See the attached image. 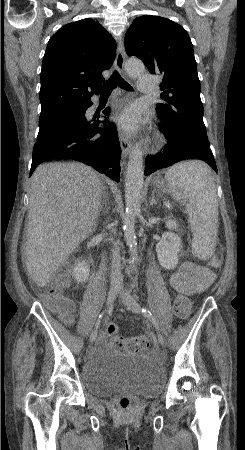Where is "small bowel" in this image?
Segmentation results:
<instances>
[{"instance_id": "1", "label": "small bowel", "mask_w": 245, "mask_h": 450, "mask_svg": "<svg viewBox=\"0 0 245 450\" xmlns=\"http://www.w3.org/2000/svg\"><path fill=\"white\" fill-rule=\"evenodd\" d=\"M216 275L210 269L196 263H184L170 277V284L177 292L193 295L210 287ZM108 345L106 334L100 337L99 349Z\"/></svg>"}]
</instances>
